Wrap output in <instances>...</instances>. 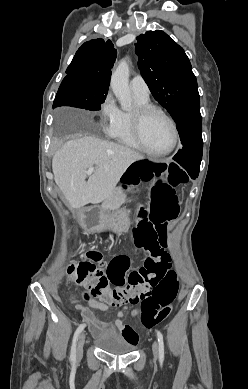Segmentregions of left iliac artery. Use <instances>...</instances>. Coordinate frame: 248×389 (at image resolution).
Segmentation results:
<instances>
[{
    "mask_svg": "<svg viewBox=\"0 0 248 389\" xmlns=\"http://www.w3.org/2000/svg\"><path fill=\"white\" fill-rule=\"evenodd\" d=\"M156 333H157V339H158V345H159V359H160L161 361H163V360H164V342H163V335H162V333H161L159 330H157Z\"/></svg>",
    "mask_w": 248,
    "mask_h": 389,
    "instance_id": "obj_1",
    "label": "left iliac artery"
}]
</instances>
